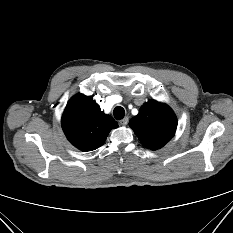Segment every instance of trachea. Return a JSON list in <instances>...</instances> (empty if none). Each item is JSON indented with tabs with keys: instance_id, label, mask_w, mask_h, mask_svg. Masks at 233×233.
I'll use <instances>...</instances> for the list:
<instances>
[{
	"instance_id": "obj_1",
	"label": "trachea",
	"mask_w": 233,
	"mask_h": 233,
	"mask_svg": "<svg viewBox=\"0 0 233 233\" xmlns=\"http://www.w3.org/2000/svg\"><path fill=\"white\" fill-rule=\"evenodd\" d=\"M113 114L115 119L121 120L125 116V110L121 106H117L115 107Z\"/></svg>"
}]
</instances>
